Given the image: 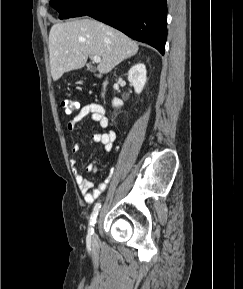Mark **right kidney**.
<instances>
[{
  "mask_svg": "<svg viewBox=\"0 0 243 289\" xmlns=\"http://www.w3.org/2000/svg\"><path fill=\"white\" fill-rule=\"evenodd\" d=\"M128 80L134 87L135 92L140 94L146 83V67L143 63H138L128 71ZM113 107H120L123 101L119 98H114L112 101Z\"/></svg>",
  "mask_w": 243,
  "mask_h": 289,
  "instance_id": "1",
  "label": "right kidney"
}]
</instances>
